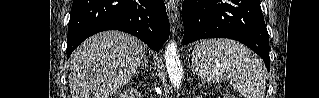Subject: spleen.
<instances>
[{"label":"spleen","instance_id":"3e777b00","mask_svg":"<svg viewBox=\"0 0 319 98\" xmlns=\"http://www.w3.org/2000/svg\"><path fill=\"white\" fill-rule=\"evenodd\" d=\"M192 66L206 82L227 79L244 98H264L263 63L238 42L228 39L200 41L192 52Z\"/></svg>","mask_w":319,"mask_h":98}]
</instances>
